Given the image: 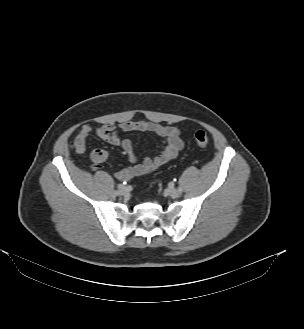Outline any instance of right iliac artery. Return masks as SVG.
Segmentation results:
<instances>
[{
	"instance_id": "1",
	"label": "right iliac artery",
	"mask_w": 304,
	"mask_h": 329,
	"mask_svg": "<svg viewBox=\"0 0 304 329\" xmlns=\"http://www.w3.org/2000/svg\"><path fill=\"white\" fill-rule=\"evenodd\" d=\"M114 195H119L118 190H115V191H114Z\"/></svg>"
}]
</instances>
